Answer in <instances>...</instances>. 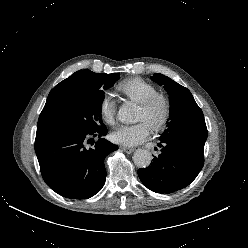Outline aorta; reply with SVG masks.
<instances>
[{
  "mask_svg": "<svg viewBox=\"0 0 248 248\" xmlns=\"http://www.w3.org/2000/svg\"><path fill=\"white\" fill-rule=\"evenodd\" d=\"M135 108L132 104H123L117 113L118 119L122 123H131L134 121ZM134 163L139 168H146L151 164L152 154L146 149H137L133 155Z\"/></svg>",
  "mask_w": 248,
  "mask_h": 248,
  "instance_id": "762f6f07",
  "label": "aorta"
}]
</instances>
